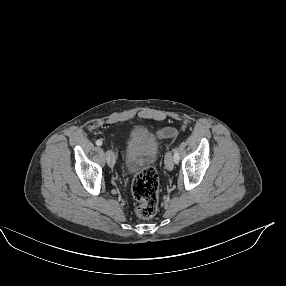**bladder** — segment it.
I'll list each match as a JSON object with an SVG mask.
<instances>
[{
	"label": "bladder",
	"mask_w": 286,
	"mask_h": 286,
	"mask_svg": "<svg viewBox=\"0 0 286 286\" xmlns=\"http://www.w3.org/2000/svg\"><path fill=\"white\" fill-rule=\"evenodd\" d=\"M158 139L149 132H134L126 142L123 154L124 170L128 175L139 172L159 156Z\"/></svg>",
	"instance_id": "31cf9c89"
}]
</instances>
